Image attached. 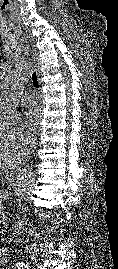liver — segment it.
I'll use <instances>...</instances> for the list:
<instances>
[{
  "instance_id": "liver-1",
  "label": "liver",
  "mask_w": 118,
  "mask_h": 269,
  "mask_svg": "<svg viewBox=\"0 0 118 269\" xmlns=\"http://www.w3.org/2000/svg\"><path fill=\"white\" fill-rule=\"evenodd\" d=\"M21 163V156L12 152L0 153V168L1 169H16Z\"/></svg>"
}]
</instances>
